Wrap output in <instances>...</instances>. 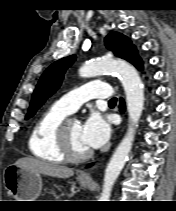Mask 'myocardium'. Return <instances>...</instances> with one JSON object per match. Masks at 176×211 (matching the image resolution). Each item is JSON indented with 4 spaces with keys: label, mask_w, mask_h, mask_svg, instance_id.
<instances>
[{
    "label": "myocardium",
    "mask_w": 176,
    "mask_h": 211,
    "mask_svg": "<svg viewBox=\"0 0 176 211\" xmlns=\"http://www.w3.org/2000/svg\"><path fill=\"white\" fill-rule=\"evenodd\" d=\"M70 120L64 119L57 128V143L59 150L65 160L70 162H81L91 157L92 151L78 153L74 151L68 135V124Z\"/></svg>",
    "instance_id": "myocardium-1"
}]
</instances>
